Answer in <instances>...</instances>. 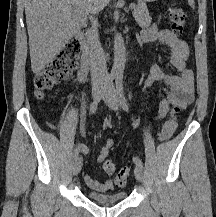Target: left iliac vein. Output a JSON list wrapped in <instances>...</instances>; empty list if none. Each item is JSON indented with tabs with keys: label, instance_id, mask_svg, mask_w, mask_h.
<instances>
[{
	"label": "left iliac vein",
	"instance_id": "4c4485c4",
	"mask_svg": "<svg viewBox=\"0 0 216 217\" xmlns=\"http://www.w3.org/2000/svg\"><path fill=\"white\" fill-rule=\"evenodd\" d=\"M102 97H103L104 102L109 106V108H111L112 110L118 109V106H119L118 97H117V93H116V90L113 84H109L107 86ZM134 174H135L136 179L139 182H142L143 167L141 165L136 164L134 168Z\"/></svg>",
	"mask_w": 216,
	"mask_h": 217
}]
</instances>
